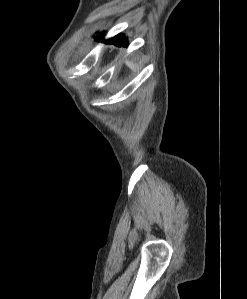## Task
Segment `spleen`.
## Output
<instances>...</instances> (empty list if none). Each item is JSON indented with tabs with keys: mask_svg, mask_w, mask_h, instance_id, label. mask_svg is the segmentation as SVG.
I'll return each instance as SVG.
<instances>
[{
	"mask_svg": "<svg viewBox=\"0 0 247 299\" xmlns=\"http://www.w3.org/2000/svg\"><path fill=\"white\" fill-rule=\"evenodd\" d=\"M126 65H127L130 69H132V70H134V71L138 70V68L135 66V64H133V63L130 62V61H126Z\"/></svg>",
	"mask_w": 247,
	"mask_h": 299,
	"instance_id": "1",
	"label": "spleen"
}]
</instances>
